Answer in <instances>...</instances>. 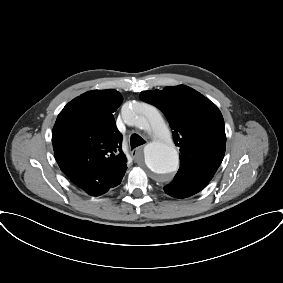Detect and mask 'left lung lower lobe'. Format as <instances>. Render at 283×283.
<instances>
[{
	"mask_svg": "<svg viewBox=\"0 0 283 283\" xmlns=\"http://www.w3.org/2000/svg\"><path fill=\"white\" fill-rule=\"evenodd\" d=\"M205 186L189 182L185 179L178 178L164 188V191L176 198H185L201 191Z\"/></svg>",
	"mask_w": 283,
	"mask_h": 283,
	"instance_id": "0a47b994",
	"label": "left lung lower lobe"
}]
</instances>
